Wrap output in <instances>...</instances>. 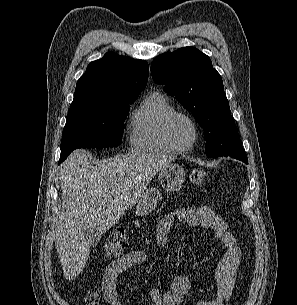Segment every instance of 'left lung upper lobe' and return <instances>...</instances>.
I'll return each mask as SVG.
<instances>
[{"label": "left lung upper lobe", "mask_w": 297, "mask_h": 305, "mask_svg": "<svg viewBox=\"0 0 297 305\" xmlns=\"http://www.w3.org/2000/svg\"><path fill=\"white\" fill-rule=\"evenodd\" d=\"M152 78L189 110L205 133L207 157L246 156L224 92L210 58L193 47L157 56ZM243 161V160H242Z\"/></svg>", "instance_id": "5c2ea615"}]
</instances>
